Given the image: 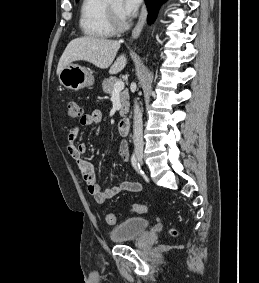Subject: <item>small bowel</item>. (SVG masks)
Wrapping results in <instances>:
<instances>
[{"label": "small bowel", "instance_id": "c3829d8e", "mask_svg": "<svg viewBox=\"0 0 259 283\" xmlns=\"http://www.w3.org/2000/svg\"><path fill=\"white\" fill-rule=\"evenodd\" d=\"M101 120L102 113L98 109H94L90 113L85 114L80 119L79 124L69 131L67 145L68 155L76 162L79 174L87 186L88 193L93 196L98 203H104L123 191L139 192L142 189L140 183L132 181H122L119 184L104 190L101 189V187L97 184L92 163L82 158L87 149L86 144H74L73 141L76 139L80 127L98 125L100 124ZM118 155L124 161H129L130 156L128 145L124 140L119 143Z\"/></svg>", "mask_w": 259, "mask_h": 283}]
</instances>
